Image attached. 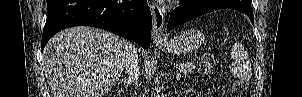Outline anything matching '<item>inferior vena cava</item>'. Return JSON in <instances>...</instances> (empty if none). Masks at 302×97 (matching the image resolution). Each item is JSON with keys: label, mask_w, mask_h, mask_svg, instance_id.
Segmentation results:
<instances>
[{"label": "inferior vena cava", "mask_w": 302, "mask_h": 97, "mask_svg": "<svg viewBox=\"0 0 302 97\" xmlns=\"http://www.w3.org/2000/svg\"><path fill=\"white\" fill-rule=\"evenodd\" d=\"M124 67L126 72L131 79V82L137 84L138 77L140 74L138 54L134 44L127 42Z\"/></svg>", "instance_id": "602c4592"}]
</instances>
